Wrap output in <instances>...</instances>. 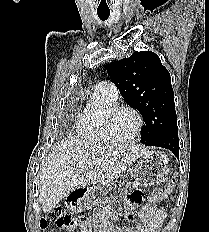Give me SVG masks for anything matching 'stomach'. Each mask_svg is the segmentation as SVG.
Returning a JSON list of instances; mask_svg holds the SVG:
<instances>
[{"label":"stomach","mask_w":209,"mask_h":232,"mask_svg":"<svg viewBox=\"0 0 209 232\" xmlns=\"http://www.w3.org/2000/svg\"><path fill=\"white\" fill-rule=\"evenodd\" d=\"M168 172V159L160 151H151L143 155L137 165L128 170L122 171V176H116L114 182H103V186H91V191H86L85 198L80 202L81 206H100L102 203H109L110 199H124L125 192L136 188L137 185L149 186L157 183ZM78 202L77 198L73 199ZM88 210L78 209L71 206L67 214H74L76 221H87Z\"/></svg>","instance_id":"obj_1"}]
</instances>
